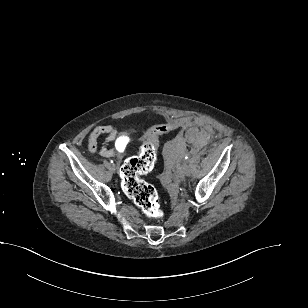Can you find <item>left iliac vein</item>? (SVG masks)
I'll use <instances>...</instances> for the list:
<instances>
[{
    "mask_svg": "<svg viewBox=\"0 0 308 308\" xmlns=\"http://www.w3.org/2000/svg\"><path fill=\"white\" fill-rule=\"evenodd\" d=\"M188 174H189V167H188L187 164H183V165L181 166V168L179 169V171H178V175H179L180 177H183V176H186V175H188Z\"/></svg>",
    "mask_w": 308,
    "mask_h": 308,
    "instance_id": "obj_1",
    "label": "left iliac vein"
}]
</instances>
